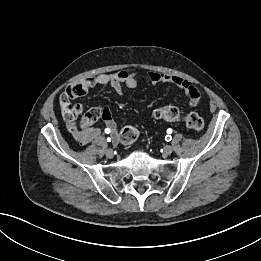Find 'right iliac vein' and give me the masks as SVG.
Wrapping results in <instances>:
<instances>
[{
  "instance_id": "right-iliac-vein-1",
  "label": "right iliac vein",
  "mask_w": 261,
  "mask_h": 261,
  "mask_svg": "<svg viewBox=\"0 0 261 261\" xmlns=\"http://www.w3.org/2000/svg\"><path fill=\"white\" fill-rule=\"evenodd\" d=\"M106 156H107L108 158H113V156H114L113 150H112V149H108V150L106 151Z\"/></svg>"
}]
</instances>
